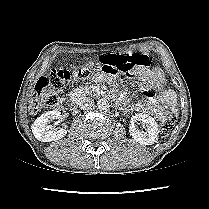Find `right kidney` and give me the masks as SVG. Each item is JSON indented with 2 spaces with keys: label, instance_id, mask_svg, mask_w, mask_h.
I'll list each match as a JSON object with an SVG mask.
<instances>
[{
  "label": "right kidney",
  "instance_id": "1",
  "mask_svg": "<svg viewBox=\"0 0 209 209\" xmlns=\"http://www.w3.org/2000/svg\"><path fill=\"white\" fill-rule=\"evenodd\" d=\"M60 116L61 113L59 111L53 110L38 117L31 127L35 138L41 142H50L62 139L67 133L66 129L61 128L58 131H54L52 130L51 125H49L51 120L59 119Z\"/></svg>",
  "mask_w": 209,
  "mask_h": 209
}]
</instances>
